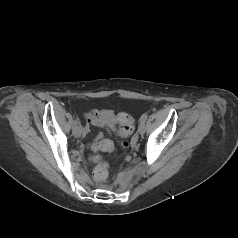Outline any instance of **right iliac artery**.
Returning <instances> with one entry per match:
<instances>
[{"mask_svg":"<svg viewBox=\"0 0 238 238\" xmlns=\"http://www.w3.org/2000/svg\"><path fill=\"white\" fill-rule=\"evenodd\" d=\"M78 124H79V119L76 118V119L73 121V128L76 127Z\"/></svg>","mask_w":238,"mask_h":238,"instance_id":"right-iliac-artery-1","label":"right iliac artery"}]
</instances>
